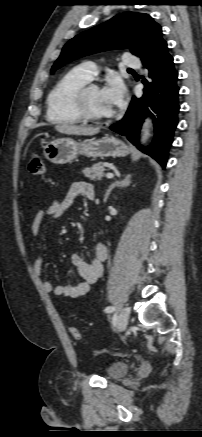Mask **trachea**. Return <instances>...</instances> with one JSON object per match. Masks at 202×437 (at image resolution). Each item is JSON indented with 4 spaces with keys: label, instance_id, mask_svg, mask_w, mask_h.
I'll return each instance as SVG.
<instances>
[{
    "label": "trachea",
    "instance_id": "1",
    "mask_svg": "<svg viewBox=\"0 0 202 437\" xmlns=\"http://www.w3.org/2000/svg\"><path fill=\"white\" fill-rule=\"evenodd\" d=\"M128 70H129V71H132V69H130V68H129Z\"/></svg>",
    "mask_w": 202,
    "mask_h": 437
}]
</instances>
